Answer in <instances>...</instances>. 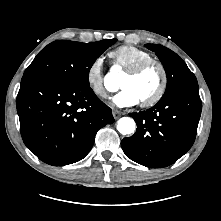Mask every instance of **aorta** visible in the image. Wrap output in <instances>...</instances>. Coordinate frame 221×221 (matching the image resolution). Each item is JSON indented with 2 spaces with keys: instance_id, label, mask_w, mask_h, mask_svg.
I'll list each match as a JSON object with an SVG mask.
<instances>
[{
  "instance_id": "762f6f07",
  "label": "aorta",
  "mask_w": 221,
  "mask_h": 221,
  "mask_svg": "<svg viewBox=\"0 0 221 221\" xmlns=\"http://www.w3.org/2000/svg\"><path fill=\"white\" fill-rule=\"evenodd\" d=\"M116 76L108 74L105 78V85L110 88L112 85L116 86ZM135 121L130 117H123L118 120L117 129L122 135L132 134L135 130Z\"/></svg>"
}]
</instances>
